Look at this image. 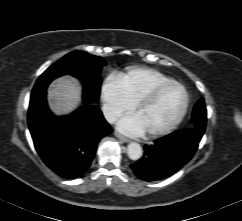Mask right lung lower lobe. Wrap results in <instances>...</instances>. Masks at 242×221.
<instances>
[{"label": "right lung lower lobe", "mask_w": 242, "mask_h": 221, "mask_svg": "<svg viewBox=\"0 0 242 221\" xmlns=\"http://www.w3.org/2000/svg\"><path fill=\"white\" fill-rule=\"evenodd\" d=\"M28 126L44 163L69 179L89 168L100 139L113 131L96 106L84 105L70 116H54L47 106L46 91L31 95Z\"/></svg>", "instance_id": "obj_1"}]
</instances>
